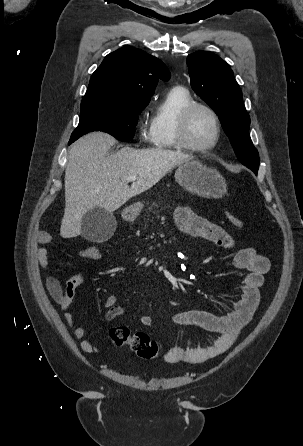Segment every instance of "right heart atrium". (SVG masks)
Wrapping results in <instances>:
<instances>
[{
	"label": "right heart atrium",
	"instance_id": "1",
	"mask_svg": "<svg viewBox=\"0 0 303 446\" xmlns=\"http://www.w3.org/2000/svg\"><path fill=\"white\" fill-rule=\"evenodd\" d=\"M141 137L145 138L146 137V133L144 131L141 132Z\"/></svg>",
	"mask_w": 303,
	"mask_h": 446
}]
</instances>
